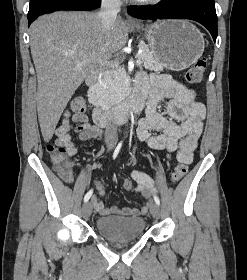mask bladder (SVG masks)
Returning <instances> with one entry per match:
<instances>
[{
  "label": "bladder",
  "mask_w": 247,
  "mask_h": 280,
  "mask_svg": "<svg viewBox=\"0 0 247 280\" xmlns=\"http://www.w3.org/2000/svg\"><path fill=\"white\" fill-rule=\"evenodd\" d=\"M95 227L102 237L123 242L140 238L145 232L146 222L140 217L106 216L98 218Z\"/></svg>",
  "instance_id": "1"
}]
</instances>
